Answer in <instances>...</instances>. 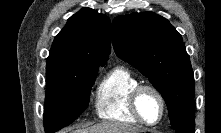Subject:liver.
Wrapping results in <instances>:
<instances>
[{
    "instance_id": "6515ba94",
    "label": "liver",
    "mask_w": 221,
    "mask_h": 133,
    "mask_svg": "<svg viewBox=\"0 0 221 133\" xmlns=\"http://www.w3.org/2000/svg\"><path fill=\"white\" fill-rule=\"evenodd\" d=\"M138 133L139 130L123 123L117 122H102L92 127L75 129V130H64L63 133Z\"/></svg>"
}]
</instances>
